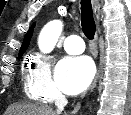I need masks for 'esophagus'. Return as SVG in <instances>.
Returning <instances> with one entry per match:
<instances>
[{
    "instance_id": "obj_1",
    "label": "esophagus",
    "mask_w": 131,
    "mask_h": 115,
    "mask_svg": "<svg viewBox=\"0 0 131 115\" xmlns=\"http://www.w3.org/2000/svg\"><path fill=\"white\" fill-rule=\"evenodd\" d=\"M93 3H94V16H95L97 26H98V33H100V27H99V23H100L99 7H100V5H99V2L97 0H93ZM100 73H101V66L99 65L98 72H97V75H96V79L94 80V82L91 86L90 92H92L94 90V88L96 87V84H97L98 79L100 77Z\"/></svg>"
}]
</instances>
